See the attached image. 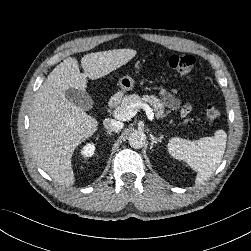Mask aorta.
I'll use <instances>...</instances> for the list:
<instances>
[{
  "instance_id": "762f6f07",
  "label": "aorta",
  "mask_w": 251,
  "mask_h": 251,
  "mask_svg": "<svg viewBox=\"0 0 251 251\" xmlns=\"http://www.w3.org/2000/svg\"><path fill=\"white\" fill-rule=\"evenodd\" d=\"M146 136L143 132L135 131L129 136V144L132 148L139 149L145 145Z\"/></svg>"
}]
</instances>
